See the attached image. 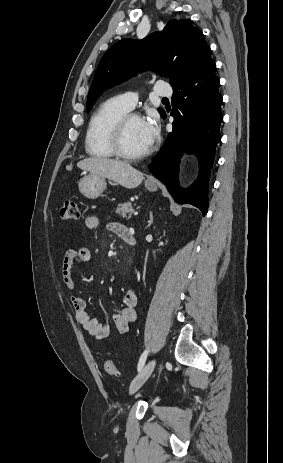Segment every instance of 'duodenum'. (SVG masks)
Segmentation results:
<instances>
[{"instance_id":"410a0bca","label":"duodenum","mask_w":283,"mask_h":463,"mask_svg":"<svg viewBox=\"0 0 283 463\" xmlns=\"http://www.w3.org/2000/svg\"><path fill=\"white\" fill-rule=\"evenodd\" d=\"M124 240L129 244V245H135L136 244V237L134 234L131 232L127 233L124 237Z\"/></svg>"}]
</instances>
